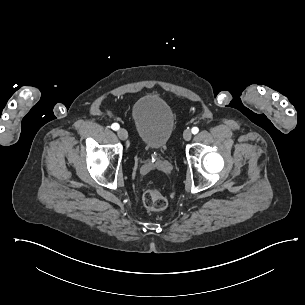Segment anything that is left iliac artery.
<instances>
[{
	"label": "left iliac artery",
	"mask_w": 305,
	"mask_h": 305,
	"mask_svg": "<svg viewBox=\"0 0 305 305\" xmlns=\"http://www.w3.org/2000/svg\"><path fill=\"white\" fill-rule=\"evenodd\" d=\"M199 132V129L197 127L192 128V133L197 134Z\"/></svg>",
	"instance_id": "44dca946"
}]
</instances>
